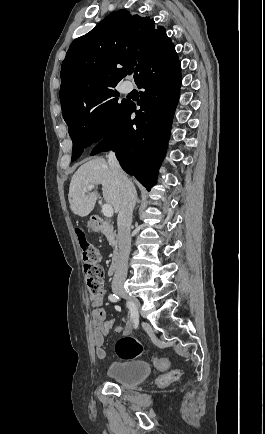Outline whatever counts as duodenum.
<instances>
[{"label": "duodenum", "mask_w": 265, "mask_h": 434, "mask_svg": "<svg viewBox=\"0 0 265 434\" xmlns=\"http://www.w3.org/2000/svg\"><path fill=\"white\" fill-rule=\"evenodd\" d=\"M92 224H94L95 228L94 230L97 232H100L102 234H106V235H110L112 236L114 234V227L110 224L101 222V221H97L94 220L92 221ZM119 266V253H118V249L115 247L114 248V254L113 257L111 259L109 268H108V272L111 275L116 274L117 269Z\"/></svg>", "instance_id": "obj_1"}]
</instances>
